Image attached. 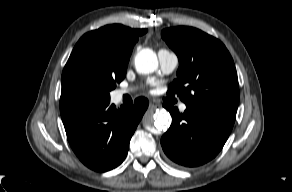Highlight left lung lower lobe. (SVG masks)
<instances>
[{
    "label": "left lung lower lobe",
    "mask_w": 292,
    "mask_h": 192,
    "mask_svg": "<svg viewBox=\"0 0 292 192\" xmlns=\"http://www.w3.org/2000/svg\"><path fill=\"white\" fill-rule=\"evenodd\" d=\"M172 116V125L162 136L165 154L175 163L196 167L213 159L224 146L236 113L221 109L186 107L183 114L163 105Z\"/></svg>",
    "instance_id": "left-lung-lower-lobe-1"
}]
</instances>
